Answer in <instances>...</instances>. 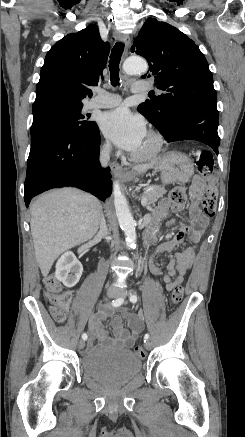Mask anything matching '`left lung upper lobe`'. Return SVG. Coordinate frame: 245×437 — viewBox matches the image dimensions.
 <instances>
[{"label": "left lung upper lobe", "instance_id": "5c2ea615", "mask_svg": "<svg viewBox=\"0 0 245 437\" xmlns=\"http://www.w3.org/2000/svg\"><path fill=\"white\" fill-rule=\"evenodd\" d=\"M131 51L147 59L148 77H154L162 91L137 108L161 134L168 133L172 115L182 108H198L218 118L217 95L207 60L184 33L168 23L149 19Z\"/></svg>", "mask_w": 245, "mask_h": 437}]
</instances>
